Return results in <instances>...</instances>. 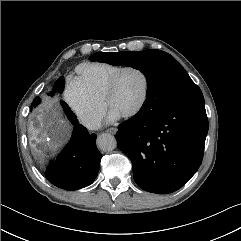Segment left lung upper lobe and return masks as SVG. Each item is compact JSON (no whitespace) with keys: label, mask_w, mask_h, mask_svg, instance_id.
<instances>
[{"label":"left lung upper lobe","mask_w":241,"mask_h":241,"mask_svg":"<svg viewBox=\"0 0 241 241\" xmlns=\"http://www.w3.org/2000/svg\"><path fill=\"white\" fill-rule=\"evenodd\" d=\"M91 61L124 65L140 70L146 77L147 98L160 92L168 106L204 102L200 88L170 54L161 50L94 53Z\"/></svg>","instance_id":"1"}]
</instances>
